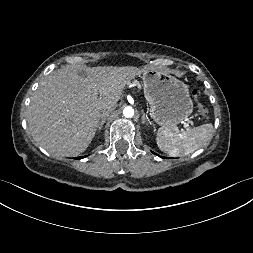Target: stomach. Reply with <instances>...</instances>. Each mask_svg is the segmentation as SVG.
Instances as JSON below:
<instances>
[{
  "instance_id": "obj_1",
  "label": "stomach",
  "mask_w": 253,
  "mask_h": 253,
  "mask_svg": "<svg viewBox=\"0 0 253 253\" xmlns=\"http://www.w3.org/2000/svg\"><path fill=\"white\" fill-rule=\"evenodd\" d=\"M144 96L153 120L162 127H176L193 111L188 86L169 73L154 68L142 71Z\"/></svg>"
}]
</instances>
